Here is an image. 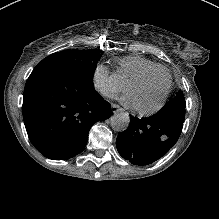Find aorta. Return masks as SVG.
<instances>
[{"mask_svg": "<svg viewBox=\"0 0 219 219\" xmlns=\"http://www.w3.org/2000/svg\"><path fill=\"white\" fill-rule=\"evenodd\" d=\"M130 125V116L125 112H116L111 118V126L115 131L123 132Z\"/></svg>", "mask_w": 219, "mask_h": 219, "instance_id": "762f6f07", "label": "aorta"}]
</instances>
